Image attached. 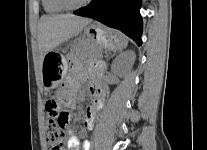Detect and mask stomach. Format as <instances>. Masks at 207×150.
Segmentation results:
<instances>
[{"label": "stomach", "instance_id": "obj_1", "mask_svg": "<svg viewBox=\"0 0 207 150\" xmlns=\"http://www.w3.org/2000/svg\"><path fill=\"white\" fill-rule=\"evenodd\" d=\"M81 47L82 55H86L93 47L100 50L99 53L91 54L89 57L98 59L103 49L117 51L127 46L126 38L117 32H107L99 24H90L86 26L78 43ZM64 53L52 50L45 54L42 66V75L44 86L47 90H56L60 92L64 87V77L67 72L68 62Z\"/></svg>", "mask_w": 207, "mask_h": 150}]
</instances>
